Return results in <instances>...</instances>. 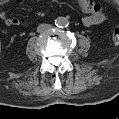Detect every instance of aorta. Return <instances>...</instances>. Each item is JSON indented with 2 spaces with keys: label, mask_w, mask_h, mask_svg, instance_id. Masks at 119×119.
Instances as JSON below:
<instances>
[{
  "label": "aorta",
  "mask_w": 119,
  "mask_h": 119,
  "mask_svg": "<svg viewBox=\"0 0 119 119\" xmlns=\"http://www.w3.org/2000/svg\"><path fill=\"white\" fill-rule=\"evenodd\" d=\"M55 24L58 26V27H66L68 25V21L66 18L64 17H58L56 20H55Z\"/></svg>",
  "instance_id": "aorta-1"
}]
</instances>
